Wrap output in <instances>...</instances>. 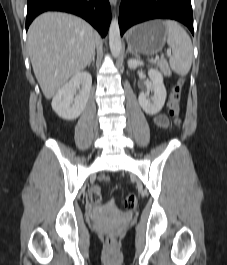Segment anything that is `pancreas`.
I'll return each mask as SVG.
<instances>
[{
    "mask_svg": "<svg viewBox=\"0 0 227 265\" xmlns=\"http://www.w3.org/2000/svg\"><path fill=\"white\" fill-rule=\"evenodd\" d=\"M158 66L161 69V71L164 73L165 76H167V77L171 76V71L165 62H160L158 64Z\"/></svg>",
    "mask_w": 227,
    "mask_h": 265,
    "instance_id": "cf45deb5",
    "label": "pancreas"
}]
</instances>
